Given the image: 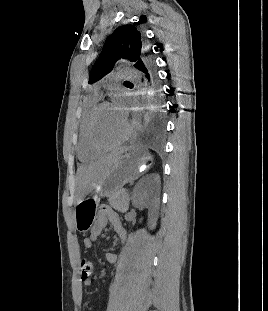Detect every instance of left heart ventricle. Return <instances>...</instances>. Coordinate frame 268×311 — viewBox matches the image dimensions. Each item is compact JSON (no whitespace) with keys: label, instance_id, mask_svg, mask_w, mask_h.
I'll return each instance as SVG.
<instances>
[{"label":"left heart ventricle","instance_id":"b2bd125f","mask_svg":"<svg viewBox=\"0 0 268 311\" xmlns=\"http://www.w3.org/2000/svg\"><path fill=\"white\" fill-rule=\"evenodd\" d=\"M127 121L112 105L104 107L95 121V136L102 144H112L125 133Z\"/></svg>","mask_w":268,"mask_h":311}]
</instances>
